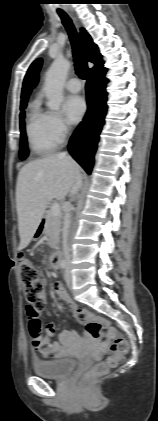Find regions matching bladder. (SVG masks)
Masks as SVG:
<instances>
[{"instance_id":"bladder-1","label":"bladder","mask_w":158,"mask_h":421,"mask_svg":"<svg viewBox=\"0 0 158 421\" xmlns=\"http://www.w3.org/2000/svg\"><path fill=\"white\" fill-rule=\"evenodd\" d=\"M77 366L71 357H60L52 360H35L33 370L36 375L50 379H62L70 375Z\"/></svg>"}]
</instances>
